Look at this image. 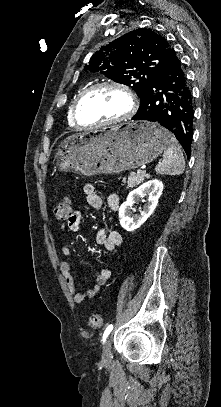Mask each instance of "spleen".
<instances>
[{"instance_id": "obj_1", "label": "spleen", "mask_w": 221, "mask_h": 407, "mask_svg": "<svg viewBox=\"0 0 221 407\" xmlns=\"http://www.w3.org/2000/svg\"><path fill=\"white\" fill-rule=\"evenodd\" d=\"M185 168V159L176 138L170 136L168 147L164 151L162 161L157 164L155 171L162 175H180Z\"/></svg>"}]
</instances>
